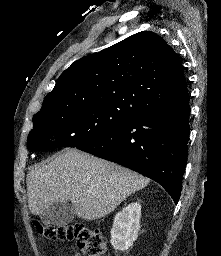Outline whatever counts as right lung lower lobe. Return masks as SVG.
<instances>
[{"mask_svg":"<svg viewBox=\"0 0 221 256\" xmlns=\"http://www.w3.org/2000/svg\"><path fill=\"white\" fill-rule=\"evenodd\" d=\"M189 100L137 115L78 147L162 185L177 204L187 162Z\"/></svg>","mask_w":221,"mask_h":256,"instance_id":"obj_1","label":"right lung lower lobe"}]
</instances>
